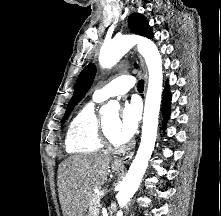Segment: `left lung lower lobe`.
I'll use <instances>...</instances> for the list:
<instances>
[{
    "mask_svg": "<svg viewBox=\"0 0 221 216\" xmlns=\"http://www.w3.org/2000/svg\"><path fill=\"white\" fill-rule=\"evenodd\" d=\"M171 94L169 91V83L165 85L163 102H162V115H163V127H165L167 119L170 115Z\"/></svg>",
    "mask_w": 221,
    "mask_h": 216,
    "instance_id": "0a47b994",
    "label": "left lung lower lobe"
}]
</instances>
